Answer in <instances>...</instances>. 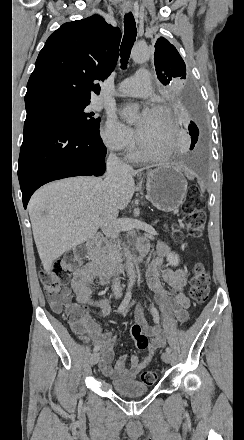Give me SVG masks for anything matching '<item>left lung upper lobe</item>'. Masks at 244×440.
Listing matches in <instances>:
<instances>
[{
  "label": "left lung upper lobe",
  "instance_id": "obj_1",
  "mask_svg": "<svg viewBox=\"0 0 244 440\" xmlns=\"http://www.w3.org/2000/svg\"><path fill=\"white\" fill-rule=\"evenodd\" d=\"M154 62L157 77L164 85L169 84L170 81L186 78V66L182 57L163 37L156 41Z\"/></svg>",
  "mask_w": 244,
  "mask_h": 440
}]
</instances>
